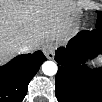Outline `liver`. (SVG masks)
<instances>
[{"mask_svg":"<svg viewBox=\"0 0 102 102\" xmlns=\"http://www.w3.org/2000/svg\"><path fill=\"white\" fill-rule=\"evenodd\" d=\"M74 15L58 0H10L0 7V56L6 59L22 46L34 49L58 40L60 28L71 23Z\"/></svg>","mask_w":102,"mask_h":102,"instance_id":"obj_1","label":"liver"}]
</instances>
